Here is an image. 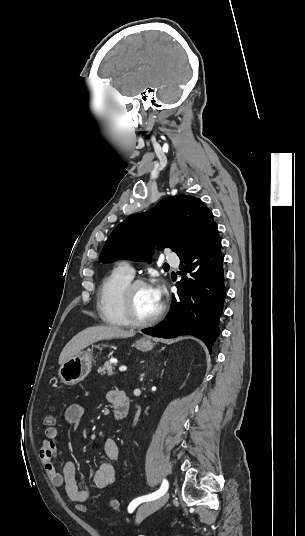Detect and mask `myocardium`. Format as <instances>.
I'll use <instances>...</instances> for the list:
<instances>
[{"label": "myocardium", "instance_id": "obj_1", "mask_svg": "<svg viewBox=\"0 0 305 536\" xmlns=\"http://www.w3.org/2000/svg\"><path fill=\"white\" fill-rule=\"evenodd\" d=\"M140 285H151V284L145 281L144 279H135V280H131L124 287L122 291L121 306H122L124 316L130 325L140 326V325L153 323L159 318H161V316L164 313V306L162 304H160L159 308L157 309L155 313L146 317H141L134 312L132 302H131V295H132L133 290Z\"/></svg>", "mask_w": 305, "mask_h": 536}]
</instances>
